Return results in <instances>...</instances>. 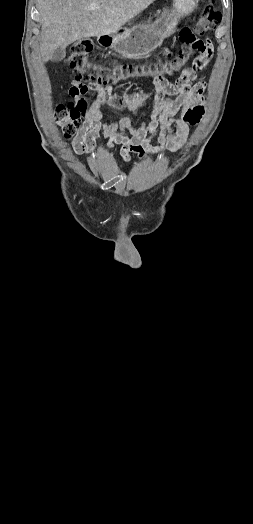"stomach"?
I'll return each instance as SVG.
<instances>
[{
  "label": "stomach",
  "instance_id": "stomach-1",
  "mask_svg": "<svg viewBox=\"0 0 253 524\" xmlns=\"http://www.w3.org/2000/svg\"><path fill=\"white\" fill-rule=\"evenodd\" d=\"M197 3L198 0H173L172 8L164 9L154 23L118 29L109 35L99 36L98 40L123 56L138 58L148 55L175 32L179 21L190 15Z\"/></svg>",
  "mask_w": 253,
  "mask_h": 524
}]
</instances>
